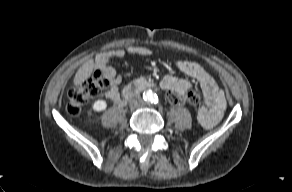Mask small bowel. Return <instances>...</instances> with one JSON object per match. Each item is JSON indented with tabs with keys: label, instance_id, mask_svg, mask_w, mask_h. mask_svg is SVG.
I'll return each instance as SVG.
<instances>
[{
	"label": "small bowel",
	"instance_id": "c3829d8e",
	"mask_svg": "<svg viewBox=\"0 0 292 192\" xmlns=\"http://www.w3.org/2000/svg\"><path fill=\"white\" fill-rule=\"evenodd\" d=\"M126 54L149 56L151 55V50L143 46H131L126 50L116 49L108 52L95 63V67L102 71L109 80V87L106 90L105 96L112 102L120 105L123 104V92L119 88L122 77L114 67L108 64V60L110 58H123ZM175 65L182 73L199 83L205 98V104L197 108V119L204 128L213 127L219 122L226 108V98L223 91L219 88L214 78L198 63L188 60H177ZM161 87L168 92V95H181L191 88V84L186 79L167 75L162 79Z\"/></svg>",
	"mask_w": 292,
	"mask_h": 192
}]
</instances>
